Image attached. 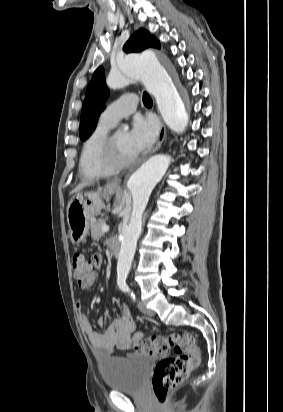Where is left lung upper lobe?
I'll use <instances>...</instances> for the list:
<instances>
[{
  "instance_id": "left-lung-upper-lobe-1",
  "label": "left lung upper lobe",
  "mask_w": 283,
  "mask_h": 412,
  "mask_svg": "<svg viewBox=\"0 0 283 412\" xmlns=\"http://www.w3.org/2000/svg\"><path fill=\"white\" fill-rule=\"evenodd\" d=\"M150 47L160 49V43L147 30L139 29L126 42L123 50L127 53L140 52ZM108 97L109 90L105 84L103 69L99 67L94 72L87 87L81 111L79 132L82 140L87 139L95 130L96 125L94 122L100 112L104 110V102Z\"/></svg>"
}]
</instances>
